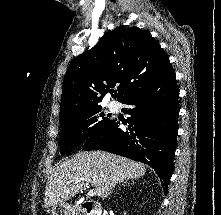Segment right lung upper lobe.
Instances as JSON below:
<instances>
[{
  "instance_id": "obj_1",
  "label": "right lung upper lobe",
  "mask_w": 221,
  "mask_h": 215,
  "mask_svg": "<svg viewBox=\"0 0 221 215\" xmlns=\"http://www.w3.org/2000/svg\"><path fill=\"white\" fill-rule=\"evenodd\" d=\"M172 67L159 43L138 27L107 32L92 49L71 62L64 78L61 120L101 107L110 88L119 102L165 76Z\"/></svg>"
}]
</instances>
